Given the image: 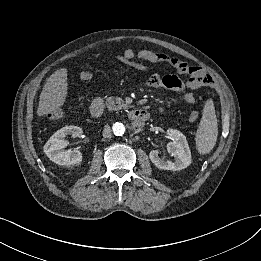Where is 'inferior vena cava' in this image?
<instances>
[{"label":"inferior vena cava","mask_w":261,"mask_h":261,"mask_svg":"<svg viewBox=\"0 0 261 261\" xmlns=\"http://www.w3.org/2000/svg\"><path fill=\"white\" fill-rule=\"evenodd\" d=\"M111 136H112L111 128L108 124H106L104 129H103V137L104 138H111Z\"/></svg>","instance_id":"602c4592"}]
</instances>
